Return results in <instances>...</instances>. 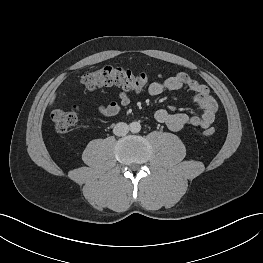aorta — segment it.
I'll return each instance as SVG.
<instances>
[{"instance_id": "762f6f07", "label": "aorta", "mask_w": 263, "mask_h": 263, "mask_svg": "<svg viewBox=\"0 0 263 263\" xmlns=\"http://www.w3.org/2000/svg\"><path fill=\"white\" fill-rule=\"evenodd\" d=\"M129 128H130V131H131L132 133H138V132H140V130H141V125H140L139 122H136V121H135V122L130 123Z\"/></svg>"}]
</instances>
